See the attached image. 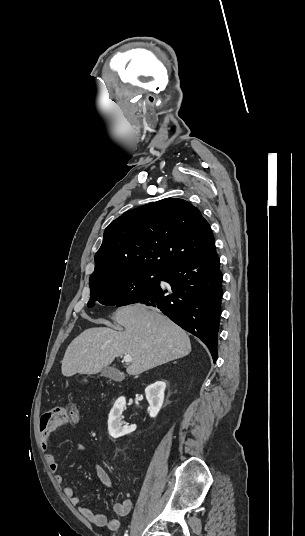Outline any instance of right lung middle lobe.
Instances as JSON below:
<instances>
[{"instance_id":"obj_1","label":"right lung middle lobe","mask_w":305,"mask_h":536,"mask_svg":"<svg viewBox=\"0 0 305 536\" xmlns=\"http://www.w3.org/2000/svg\"><path fill=\"white\" fill-rule=\"evenodd\" d=\"M164 271L140 270L119 277L90 281L91 298L88 307L95 301L106 306H123L137 303L160 285Z\"/></svg>"}]
</instances>
